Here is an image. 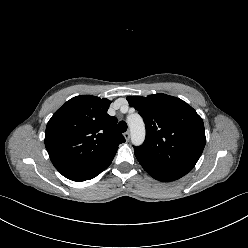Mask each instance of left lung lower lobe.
Here are the masks:
<instances>
[{
	"instance_id": "obj_1",
	"label": "left lung lower lobe",
	"mask_w": 248,
	"mask_h": 248,
	"mask_svg": "<svg viewBox=\"0 0 248 248\" xmlns=\"http://www.w3.org/2000/svg\"><path fill=\"white\" fill-rule=\"evenodd\" d=\"M147 173H149L153 178L163 182L174 181L182 177V175L172 174V173H164L151 169L144 168Z\"/></svg>"
}]
</instances>
